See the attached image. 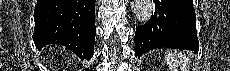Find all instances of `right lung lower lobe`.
Returning a JSON list of instances; mask_svg holds the SVG:
<instances>
[{
	"label": "right lung lower lobe",
	"mask_w": 230,
	"mask_h": 71,
	"mask_svg": "<svg viewBox=\"0 0 230 71\" xmlns=\"http://www.w3.org/2000/svg\"><path fill=\"white\" fill-rule=\"evenodd\" d=\"M95 0H38L34 10L33 41L41 50L61 44L80 59L93 56Z\"/></svg>",
	"instance_id": "obj_1"
}]
</instances>
